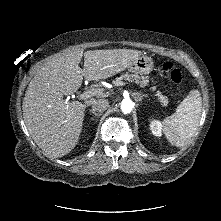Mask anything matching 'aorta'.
<instances>
[{
	"label": "aorta",
	"mask_w": 221,
	"mask_h": 221,
	"mask_svg": "<svg viewBox=\"0 0 221 221\" xmlns=\"http://www.w3.org/2000/svg\"><path fill=\"white\" fill-rule=\"evenodd\" d=\"M134 107L131 99H123L121 102V111L124 114L130 113Z\"/></svg>",
	"instance_id": "762f6f07"
}]
</instances>
